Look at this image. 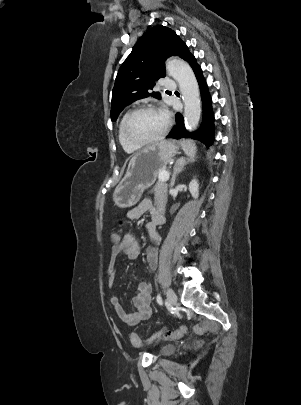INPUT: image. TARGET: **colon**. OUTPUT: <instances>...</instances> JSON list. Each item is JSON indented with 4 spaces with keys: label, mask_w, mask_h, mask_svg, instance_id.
I'll return each mask as SVG.
<instances>
[{
    "label": "colon",
    "mask_w": 301,
    "mask_h": 405,
    "mask_svg": "<svg viewBox=\"0 0 301 405\" xmlns=\"http://www.w3.org/2000/svg\"><path fill=\"white\" fill-rule=\"evenodd\" d=\"M120 224H121V225L123 224V221H122V220L120 221ZM118 236H119V234L116 233V232H114V233H112V234L110 235V238L112 239L113 245H114L115 247H118V246L120 245V242H119V241H120V238H119ZM185 331H186V328H185V327H181V328H179V329H177V330H175V331H172V332L167 333V334L165 335V338H166V339L179 338V337H181V336L185 333ZM130 340H131V343H132L134 346H136V347L141 346V345L143 344V342H144V339L141 338V337H139V336H138L137 334H135V333H131V334H130ZM196 344H197V345H200L201 343H200V342H197Z\"/></svg>",
    "instance_id": "5ec220e1"
}]
</instances>
